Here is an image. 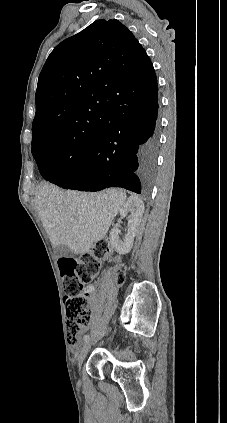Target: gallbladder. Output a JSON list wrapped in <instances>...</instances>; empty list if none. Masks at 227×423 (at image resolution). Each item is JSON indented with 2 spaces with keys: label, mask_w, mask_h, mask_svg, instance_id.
<instances>
[{
  "label": "gallbladder",
  "mask_w": 227,
  "mask_h": 423,
  "mask_svg": "<svg viewBox=\"0 0 227 423\" xmlns=\"http://www.w3.org/2000/svg\"><path fill=\"white\" fill-rule=\"evenodd\" d=\"M56 255L58 257H72L73 253L70 251L69 247H66V245H57L54 249Z\"/></svg>",
  "instance_id": "bac80fb5"
}]
</instances>
